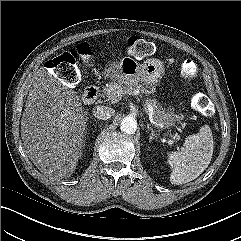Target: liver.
I'll list each match as a JSON object with an SVG mask.
<instances>
[{"label": "liver", "mask_w": 241, "mask_h": 241, "mask_svg": "<svg viewBox=\"0 0 241 241\" xmlns=\"http://www.w3.org/2000/svg\"><path fill=\"white\" fill-rule=\"evenodd\" d=\"M88 111L77 92L40 68L21 119L29 159L49 180L69 177L81 157Z\"/></svg>", "instance_id": "obj_1"}]
</instances>
